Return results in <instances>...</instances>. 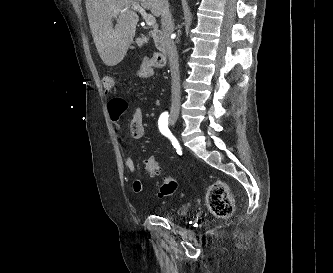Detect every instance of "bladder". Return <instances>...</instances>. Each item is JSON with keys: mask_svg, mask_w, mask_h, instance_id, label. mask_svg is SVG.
I'll use <instances>...</instances> for the list:
<instances>
[{"mask_svg": "<svg viewBox=\"0 0 333 273\" xmlns=\"http://www.w3.org/2000/svg\"><path fill=\"white\" fill-rule=\"evenodd\" d=\"M189 211V207L187 204H180L178 207H177V210H176V215H169L168 218L169 219H175V217L178 215V216H183V215H186Z\"/></svg>", "mask_w": 333, "mask_h": 273, "instance_id": "1", "label": "bladder"}]
</instances>
